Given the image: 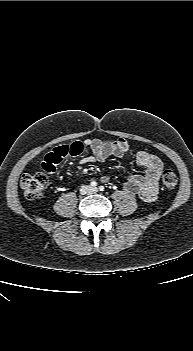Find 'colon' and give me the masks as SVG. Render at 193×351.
Wrapping results in <instances>:
<instances>
[{
  "mask_svg": "<svg viewBox=\"0 0 193 351\" xmlns=\"http://www.w3.org/2000/svg\"><path fill=\"white\" fill-rule=\"evenodd\" d=\"M177 183L178 177L174 171L167 169L163 172L162 184L165 188L173 189L177 186ZM47 184L48 178L43 173L25 174L20 182L24 195L30 200L41 198Z\"/></svg>",
  "mask_w": 193,
  "mask_h": 351,
  "instance_id": "colon-1",
  "label": "colon"
}]
</instances>
